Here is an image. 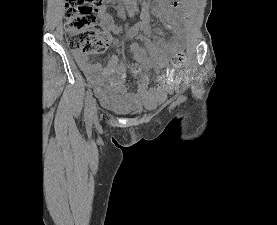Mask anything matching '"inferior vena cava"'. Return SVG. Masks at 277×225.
Here are the masks:
<instances>
[{
	"mask_svg": "<svg viewBox=\"0 0 277 225\" xmlns=\"http://www.w3.org/2000/svg\"><path fill=\"white\" fill-rule=\"evenodd\" d=\"M112 1L114 2V1H119V0H112Z\"/></svg>",
	"mask_w": 277,
	"mask_h": 225,
	"instance_id": "602c4592",
	"label": "inferior vena cava"
}]
</instances>
